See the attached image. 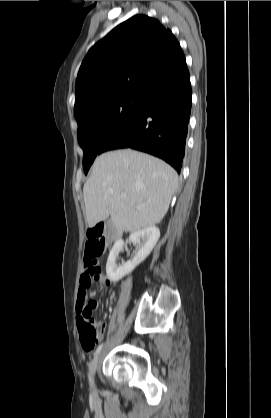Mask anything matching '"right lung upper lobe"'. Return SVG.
<instances>
[{
  "label": "right lung upper lobe",
  "mask_w": 271,
  "mask_h": 418,
  "mask_svg": "<svg viewBox=\"0 0 271 418\" xmlns=\"http://www.w3.org/2000/svg\"><path fill=\"white\" fill-rule=\"evenodd\" d=\"M179 42L157 19L136 15L97 42L76 80L75 115L115 96L151 98L185 67Z\"/></svg>",
  "instance_id": "obj_1"
}]
</instances>
